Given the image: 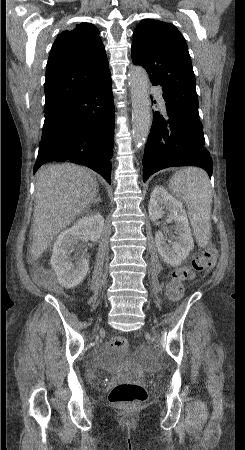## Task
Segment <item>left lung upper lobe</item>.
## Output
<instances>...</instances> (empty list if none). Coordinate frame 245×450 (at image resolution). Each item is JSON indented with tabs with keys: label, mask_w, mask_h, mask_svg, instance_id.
Returning <instances> with one entry per match:
<instances>
[{
	"label": "left lung upper lobe",
	"mask_w": 245,
	"mask_h": 450,
	"mask_svg": "<svg viewBox=\"0 0 245 450\" xmlns=\"http://www.w3.org/2000/svg\"><path fill=\"white\" fill-rule=\"evenodd\" d=\"M132 61L144 67L150 80L165 93L199 116L187 44L174 25L151 19L140 21L133 33Z\"/></svg>",
	"instance_id": "1"
}]
</instances>
